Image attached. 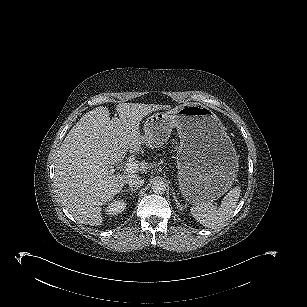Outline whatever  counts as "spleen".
Instances as JSON below:
<instances>
[{
  "mask_svg": "<svg viewBox=\"0 0 307 307\" xmlns=\"http://www.w3.org/2000/svg\"><path fill=\"white\" fill-rule=\"evenodd\" d=\"M240 187L231 189L223 198L221 205L213 206V200H203L191 207L194 219L208 228H217L225 223L234 212L240 196Z\"/></svg>",
  "mask_w": 307,
  "mask_h": 307,
  "instance_id": "obj_1",
  "label": "spleen"
}]
</instances>
